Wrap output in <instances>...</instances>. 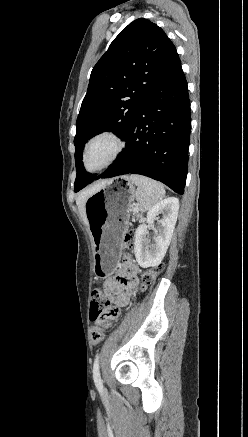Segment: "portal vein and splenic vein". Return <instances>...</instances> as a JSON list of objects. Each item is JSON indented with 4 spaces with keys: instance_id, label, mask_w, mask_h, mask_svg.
<instances>
[{
    "instance_id": "1",
    "label": "portal vein and splenic vein",
    "mask_w": 248,
    "mask_h": 437,
    "mask_svg": "<svg viewBox=\"0 0 248 437\" xmlns=\"http://www.w3.org/2000/svg\"><path fill=\"white\" fill-rule=\"evenodd\" d=\"M138 210V208H135V211H137Z\"/></svg>"
}]
</instances>
